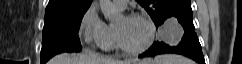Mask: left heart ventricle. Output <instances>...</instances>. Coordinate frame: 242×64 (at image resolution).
I'll use <instances>...</instances> for the list:
<instances>
[{
  "label": "left heart ventricle",
  "instance_id": "b2bd125f",
  "mask_svg": "<svg viewBox=\"0 0 242 64\" xmlns=\"http://www.w3.org/2000/svg\"><path fill=\"white\" fill-rule=\"evenodd\" d=\"M116 27L120 32L123 42L129 47L142 46L149 36V27L142 20L121 17L117 21Z\"/></svg>",
  "mask_w": 242,
  "mask_h": 64
}]
</instances>
